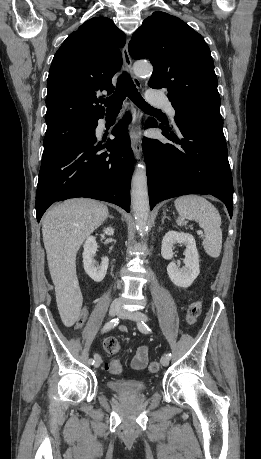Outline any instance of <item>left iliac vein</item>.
<instances>
[{
	"label": "left iliac vein",
	"instance_id": "left-iliac-vein-1",
	"mask_svg": "<svg viewBox=\"0 0 261 459\" xmlns=\"http://www.w3.org/2000/svg\"><path fill=\"white\" fill-rule=\"evenodd\" d=\"M119 316L123 319H130L136 322H142V321H147L148 317L141 313V312H135V311H127L125 309H122L121 312L119 313ZM161 364L163 366H168L169 364V357L168 356H162L160 360Z\"/></svg>",
	"mask_w": 261,
	"mask_h": 459
}]
</instances>
